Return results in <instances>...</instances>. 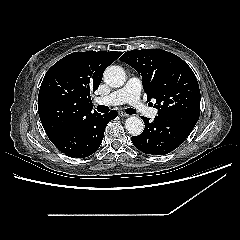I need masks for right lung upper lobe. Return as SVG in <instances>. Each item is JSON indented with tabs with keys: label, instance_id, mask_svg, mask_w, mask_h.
<instances>
[{
	"label": "right lung upper lobe",
	"instance_id": "1",
	"mask_svg": "<svg viewBox=\"0 0 240 240\" xmlns=\"http://www.w3.org/2000/svg\"><path fill=\"white\" fill-rule=\"evenodd\" d=\"M122 52H74L56 62L45 74L38 95V112L52 141L80 127L91 117L90 94L98 89L104 70Z\"/></svg>",
	"mask_w": 240,
	"mask_h": 240
}]
</instances>
